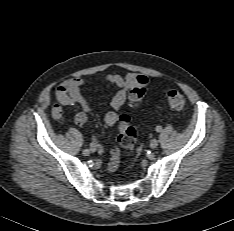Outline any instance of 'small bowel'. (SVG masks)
Instances as JSON below:
<instances>
[{"label":"small bowel","instance_id":"1","mask_svg":"<svg viewBox=\"0 0 234 231\" xmlns=\"http://www.w3.org/2000/svg\"><path fill=\"white\" fill-rule=\"evenodd\" d=\"M135 74H127L121 76L119 74L107 75L103 82L118 88L111 100V108L106 113L104 120L109 126L114 125L118 120V110L125 103L127 91L133 87L136 82ZM86 84V81L81 78H71L61 83L56 89L57 104L52 108V116L55 119L62 117L63 107L79 104L82 111L78 112L75 116V122L78 125H84L88 121V115L92 111V107L86 97L82 94L81 88ZM116 162L111 159L108 164V169L113 171L116 168Z\"/></svg>","mask_w":234,"mask_h":231}]
</instances>
